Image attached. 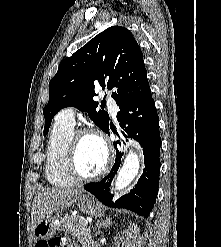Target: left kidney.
Instances as JSON below:
<instances>
[{"instance_id": "left-kidney-1", "label": "left kidney", "mask_w": 221, "mask_h": 247, "mask_svg": "<svg viewBox=\"0 0 221 247\" xmlns=\"http://www.w3.org/2000/svg\"><path fill=\"white\" fill-rule=\"evenodd\" d=\"M140 235V229L137 225H132L125 230L123 236L116 237L115 244L117 247H135L138 237Z\"/></svg>"}]
</instances>
